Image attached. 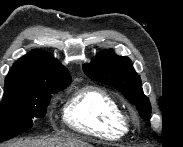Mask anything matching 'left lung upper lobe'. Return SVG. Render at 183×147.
<instances>
[{
	"instance_id": "1",
	"label": "left lung upper lobe",
	"mask_w": 183,
	"mask_h": 147,
	"mask_svg": "<svg viewBox=\"0 0 183 147\" xmlns=\"http://www.w3.org/2000/svg\"><path fill=\"white\" fill-rule=\"evenodd\" d=\"M83 70L90 79L120 91L136 106L145 120H150V101L143 93L140 76L128 57L118 56L112 50H104L98 53L90 64H84ZM147 125L150 126V122H147Z\"/></svg>"
}]
</instances>
